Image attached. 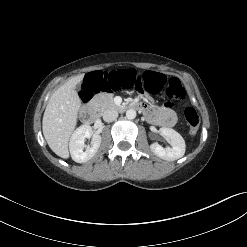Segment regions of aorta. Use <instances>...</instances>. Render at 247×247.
I'll return each mask as SVG.
<instances>
[{"label": "aorta", "mask_w": 247, "mask_h": 247, "mask_svg": "<svg viewBox=\"0 0 247 247\" xmlns=\"http://www.w3.org/2000/svg\"><path fill=\"white\" fill-rule=\"evenodd\" d=\"M126 117L128 119H134L136 117V111L134 109L127 110Z\"/></svg>", "instance_id": "aorta-1"}]
</instances>
